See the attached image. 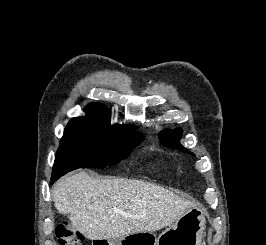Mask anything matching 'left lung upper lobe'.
Segmentation results:
<instances>
[{"instance_id": "5c2ea615", "label": "left lung upper lobe", "mask_w": 266, "mask_h": 245, "mask_svg": "<svg viewBox=\"0 0 266 245\" xmlns=\"http://www.w3.org/2000/svg\"><path fill=\"white\" fill-rule=\"evenodd\" d=\"M182 131L180 129H174L173 131L165 132V133H160L159 138L161 143L169 148L177 149L180 151H183L185 153H189L194 156L192 152L184 148L180 143L179 140L181 138Z\"/></svg>"}]
</instances>
